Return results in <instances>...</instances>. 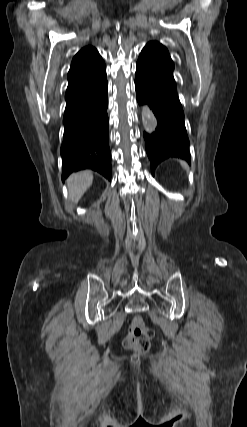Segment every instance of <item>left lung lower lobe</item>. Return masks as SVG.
Listing matches in <instances>:
<instances>
[{
  "label": "left lung lower lobe",
  "instance_id": "0a47b994",
  "mask_svg": "<svg viewBox=\"0 0 247 427\" xmlns=\"http://www.w3.org/2000/svg\"><path fill=\"white\" fill-rule=\"evenodd\" d=\"M135 88L138 103H147L158 121L155 132H144L152 174L157 165L169 157L190 163L189 139L175 80L148 60L139 57Z\"/></svg>",
  "mask_w": 247,
  "mask_h": 427
}]
</instances>
